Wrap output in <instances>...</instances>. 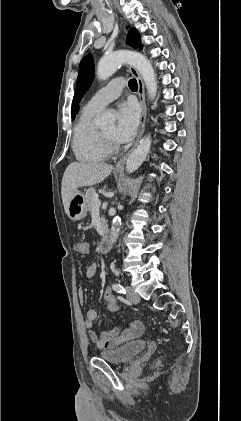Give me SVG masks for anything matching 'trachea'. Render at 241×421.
Returning <instances> with one entry per match:
<instances>
[{
    "label": "trachea",
    "mask_w": 241,
    "mask_h": 421,
    "mask_svg": "<svg viewBox=\"0 0 241 421\" xmlns=\"http://www.w3.org/2000/svg\"><path fill=\"white\" fill-rule=\"evenodd\" d=\"M128 85H129V88H130L131 90H133V91H135V90H137V89H138V85H137V81H136V79H131V80L129 81Z\"/></svg>",
    "instance_id": "obj_1"
}]
</instances>
